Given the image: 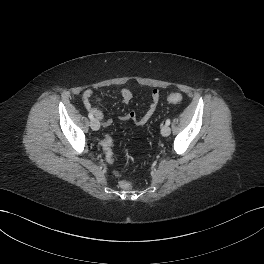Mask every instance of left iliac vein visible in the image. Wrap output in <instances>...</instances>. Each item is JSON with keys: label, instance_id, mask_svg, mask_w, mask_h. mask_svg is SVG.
Here are the masks:
<instances>
[{"label": "left iliac vein", "instance_id": "obj_1", "mask_svg": "<svg viewBox=\"0 0 264 264\" xmlns=\"http://www.w3.org/2000/svg\"><path fill=\"white\" fill-rule=\"evenodd\" d=\"M171 133V129L168 125H164L162 128H161V134L163 136H169Z\"/></svg>", "mask_w": 264, "mask_h": 264}]
</instances>
